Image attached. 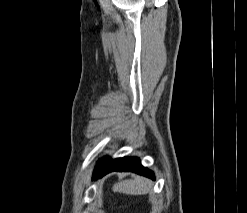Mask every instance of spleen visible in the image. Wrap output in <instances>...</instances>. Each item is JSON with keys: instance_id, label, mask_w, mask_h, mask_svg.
Wrapping results in <instances>:
<instances>
[{"instance_id": "3e777b00", "label": "spleen", "mask_w": 247, "mask_h": 213, "mask_svg": "<svg viewBox=\"0 0 247 213\" xmlns=\"http://www.w3.org/2000/svg\"><path fill=\"white\" fill-rule=\"evenodd\" d=\"M151 190V184L149 180L143 177H136L129 180H124L113 186L114 192H120L130 195H143L147 194Z\"/></svg>"}]
</instances>
